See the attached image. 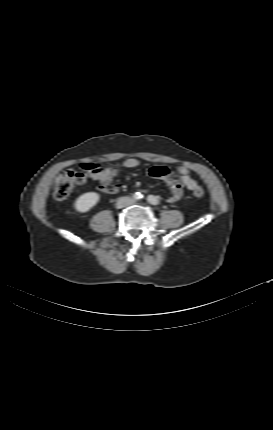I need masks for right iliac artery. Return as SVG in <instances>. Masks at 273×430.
<instances>
[{
  "instance_id": "right-iliac-artery-1",
  "label": "right iliac artery",
  "mask_w": 273,
  "mask_h": 430,
  "mask_svg": "<svg viewBox=\"0 0 273 430\" xmlns=\"http://www.w3.org/2000/svg\"><path fill=\"white\" fill-rule=\"evenodd\" d=\"M134 198L138 200V199L143 198V195H142L140 192H136V193L134 194Z\"/></svg>"
}]
</instances>
